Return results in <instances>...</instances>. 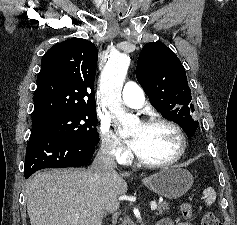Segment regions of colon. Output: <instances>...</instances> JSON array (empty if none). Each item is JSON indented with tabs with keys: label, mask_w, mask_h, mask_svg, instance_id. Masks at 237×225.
Masks as SVG:
<instances>
[{
	"label": "colon",
	"mask_w": 237,
	"mask_h": 225,
	"mask_svg": "<svg viewBox=\"0 0 237 225\" xmlns=\"http://www.w3.org/2000/svg\"><path fill=\"white\" fill-rule=\"evenodd\" d=\"M181 214L183 218L191 220L195 215V206L191 203H184L181 206ZM201 225H221L216 216L212 213L204 215Z\"/></svg>",
	"instance_id": "5ec220e1"
}]
</instances>
